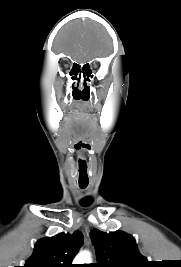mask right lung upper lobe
I'll use <instances>...</instances> for the list:
<instances>
[{
    "instance_id": "obj_1",
    "label": "right lung upper lobe",
    "mask_w": 181,
    "mask_h": 267,
    "mask_svg": "<svg viewBox=\"0 0 181 267\" xmlns=\"http://www.w3.org/2000/svg\"><path fill=\"white\" fill-rule=\"evenodd\" d=\"M82 244L80 231L44 237L36 242L34 252L24 267H73L72 260Z\"/></svg>"
}]
</instances>
